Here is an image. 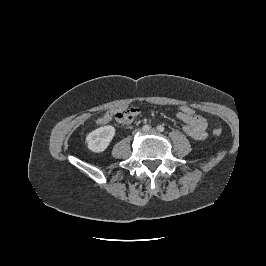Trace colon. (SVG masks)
I'll list each match as a JSON object with an SVG mask.
<instances>
[{
  "mask_svg": "<svg viewBox=\"0 0 266 266\" xmlns=\"http://www.w3.org/2000/svg\"><path fill=\"white\" fill-rule=\"evenodd\" d=\"M179 113H181L185 116H188V117H192V116L197 115L196 110L193 107L188 106V105H182L179 108ZM133 116H134V114H133V111L131 108L123 110V111H119V112L114 114L115 120L121 124L128 123L130 120H132ZM221 133H222V130L220 128H216L213 130V134L216 136L221 135Z\"/></svg>",
  "mask_w": 266,
  "mask_h": 266,
  "instance_id": "1",
  "label": "colon"
}]
</instances>
